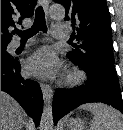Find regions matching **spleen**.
Returning <instances> with one entry per match:
<instances>
[{"instance_id":"3e777b00","label":"spleen","mask_w":123,"mask_h":130,"mask_svg":"<svg viewBox=\"0 0 123 130\" xmlns=\"http://www.w3.org/2000/svg\"><path fill=\"white\" fill-rule=\"evenodd\" d=\"M93 114L90 130H123L120 113L114 108L101 103H89L80 107Z\"/></svg>"}]
</instances>
